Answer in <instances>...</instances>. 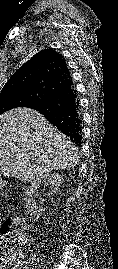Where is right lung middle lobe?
Here are the masks:
<instances>
[{"label":"right lung middle lobe","instance_id":"1","mask_svg":"<svg viewBox=\"0 0 118 269\" xmlns=\"http://www.w3.org/2000/svg\"><path fill=\"white\" fill-rule=\"evenodd\" d=\"M36 102V97L26 94H7L0 97V114L16 108L28 107L30 104Z\"/></svg>","mask_w":118,"mask_h":269}]
</instances>
